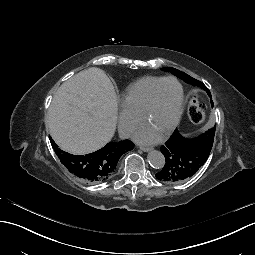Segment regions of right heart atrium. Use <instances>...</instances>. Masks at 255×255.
Instances as JSON below:
<instances>
[{
    "label": "right heart atrium",
    "mask_w": 255,
    "mask_h": 255,
    "mask_svg": "<svg viewBox=\"0 0 255 255\" xmlns=\"http://www.w3.org/2000/svg\"><path fill=\"white\" fill-rule=\"evenodd\" d=\"M139 123V118L124 110L122 107L118 110V129L120 134L127 138L132 135Z\"/></svg>",
    "instance_id": "obj_1"
}]
</instances>
